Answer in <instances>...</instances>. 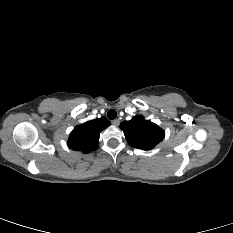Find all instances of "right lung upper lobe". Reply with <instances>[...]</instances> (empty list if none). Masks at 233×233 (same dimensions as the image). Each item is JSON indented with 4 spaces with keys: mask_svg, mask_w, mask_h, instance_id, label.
I'll return each instance as SVG.
<instances>
[{
    "mask_svg": "<svg viewBox=\"0 0 233 233\" xmlns=\"http://www.w3.org/2000/svg\"><path fill=\"white\" fill-rule=\"evenodd\" d=\"M110 122L102 117L77 125L70 134L68 146L73 150L89 153L98 148L100 132L107 128Z\"/></svg>",
    "mask_w": 233,
    "mask_h": 233,
    "instance_id": "right-lung-upper-lobe-1",
    "label": "right lung upper lobe"
}]
</instances>
